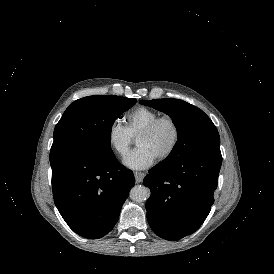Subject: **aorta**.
<instances>
[{
    "mask_svg": "<svg viewBox=\"0 0 274 274\" xmlns=\"http://www.w3.org/2000/svg\"><path fill=\"white\" fill-rule=\"evenodd\" d=\"M149 197L150 190L142 185H136L130 191V198L135 202H143Z\"/></svg>",
    "mask_w": 274,
    "mask_h": 274,
    "instance_id": "obj_1",
    "label": "aorta"
}]
</instances>
